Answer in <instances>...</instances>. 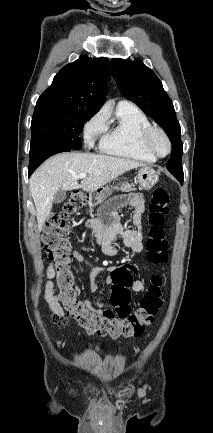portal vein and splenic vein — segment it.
I'll return each mask as SVG.
<instances>
[{
    "instance_id": "obj_1",
    "label": "portal vein and splenic vein",
    "mask_w": 213,
    "mask_h": 433,
    "mask_svg": "<svg viewBox=\"0 0 213 433\" xmlns=\"http://www.w3.org/2000/svg\"><path fill=\"white\" fill-rule=\"evenodd\" d=\"M87 176V174L86 173H80L78 176H76L77 178H79V179H83V178H85Z\"/></svg>"
}]
</instances>
